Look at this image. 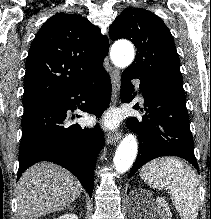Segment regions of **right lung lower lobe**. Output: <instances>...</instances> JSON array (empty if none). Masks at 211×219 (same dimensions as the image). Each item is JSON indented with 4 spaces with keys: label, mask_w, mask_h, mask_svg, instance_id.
I'll return each instance as SVG.
<instances>
[{
    "label": "right lung lower lobe",
    "mask_w": 211,
    "mask_h": 219,
    "mask_svg": "<svg viewBox=\"0 0 211 219\" xmlns=\"http://www.w3.org/2000/svg\"><path fill=\"white\" fill-rule=\"evenodd\" d=\"M110 99L111 81L103 69L65 93L24 110L17 180L36 162L50 161L72 172L92 197L95 162L104 145V133L97 125L93 129L69 125L66 112L78 107L100 117Z\"/></svg>",
    "instance_id": "1"
}]
</instances>
